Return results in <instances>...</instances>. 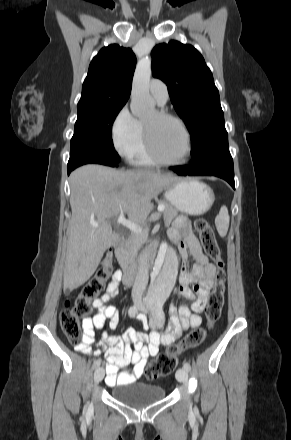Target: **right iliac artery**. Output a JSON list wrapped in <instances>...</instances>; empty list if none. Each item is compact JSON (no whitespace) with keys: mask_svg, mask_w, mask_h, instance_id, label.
I'll list each match as a JSON object with an SVG mask.
<instances>
[{"mask_svg":"<svg viewBox=\"0 0 291 440\" xmlns=\"http://www.w3.org/2000/svg\"><path fill=\"white\" fill-rule=\"evenodd\" d=\"M137 313H138V309L136 306H131L128 310V314L130 317H135ZM100 364H101L100 359L95 360L93 363V368L94 369L98 368Z\"/></svg>","mask_w":291,"mask_h":440,"instance_id":"right-iliac-artery-1","label":"right iliac artery"}]
</instances>
